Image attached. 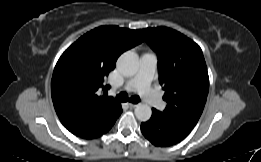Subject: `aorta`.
Segmentation results:
<instances>
[{"label": "aorta", "instance_id": "762f6f07", "mask_svg": "<svg viewBox=\"0 0 261 162\" xmlns=\"http://www.w3.org/2000/svg\"><path fill=\"white\" fill-rule=\"evenodd\" d=\"M117 64L123 75L131 77L139 69V57L135 52L127 51L118 58ZM134 112L136 118L142 122L148 121L152 115V109L147 104H138Z\"/></svg>", "mask_w": 261, "mask_h": 162}]
</instances>
